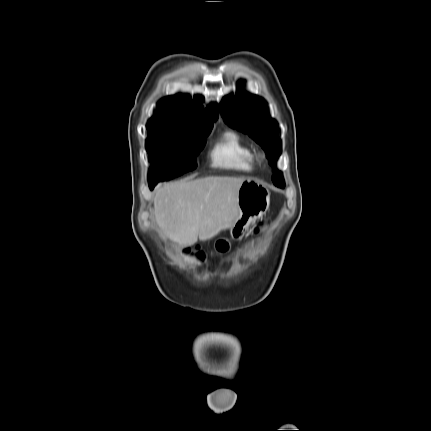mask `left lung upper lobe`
Segmentation results:
<instances>
[{"label":"left lung upper lobe","instance_id":"obj_1","mask_svg":"<svg viewBox=\"0 0 431 431\" xmlns=\"http://www.w3.org/2000/svg\"><path fill=\"white\" fill-rule=\"evenodd\" d=\"M219 108L225 122L256 140L266 152L269 163L275 166L281 154V141L278 125L268 116L265 101L240 90L235 95L226 96ZM272 181L277 187L283 188L282 173L275 168Z\"/></svg>","mask_w":431,"mask_h":431}]
</instances>
